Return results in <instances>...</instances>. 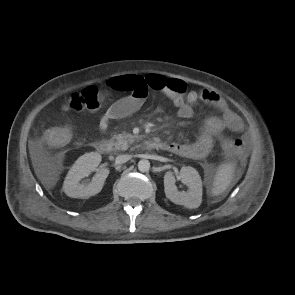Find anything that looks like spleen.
Here are the masks:
<instances>
[{
    "label": "spleen",
    "instance_id": "3e777b00",
    "mask_svg": "<svg viewBox=\"0 0 295 295\" xmlns=\"http://www.w3.org/2000/svg\"><path fill=\"white\" fill-rule=\"evenodd\" d=\"M235 172V167L231 163L223 164L219 167L213 181L211 193L213 196L222 194L230 185Z\"/></svg>",
    "mask_w": 295,
    "mask_h": 295
}]
</instances>
